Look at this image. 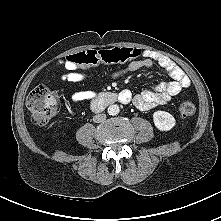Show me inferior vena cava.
Masks as SVG:
<instances>
[{
	"label": "inferior vena cava",
	"instance_id": "602c4592",
	"mask_svg": "<svg viewBox=\"0 0 221 221\" xmlns=\"http://www.w3.org/2000/svg\"><path fill=\"white\" fill-rule=\"evenodd\" d=\"M106 120V114H97L93 116V121L95 123H100Z\"/></svg>",
	"mask_w": 221,
	"mask_h": 221
}]
</instances>
